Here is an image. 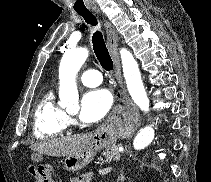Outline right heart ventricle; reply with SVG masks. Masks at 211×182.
<instances>
[{"mask_svg":"<svg viewBox=\"0 0 211 182\" xmlns=\"http://www.w3.org/2000/svg\"><path fill=\"white\" fill-rule=\"evenodd\" d=\"M69 118L56 102L54 93L47 92L38 102L34 113L33 134L36 139L48 140L67 131Z\"/></svg>","mask_w":211,"mask_h":182,"instance_id":"obj_1","label":"right heart ventricle"}]
</instances>
